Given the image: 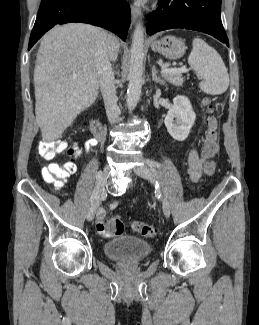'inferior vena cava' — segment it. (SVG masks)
<instances>
[{
  "mask_svg": "<svg viewBox=\"0 0 259 325\" xmlns=\"http://www.w3.org/2000/svg\"><path fill=\"white\" fill-rule=\"evenodd\" d=\"M94 70L99 80L107 118L111 124H115L119 121L120 109L117 105L114 72L110 63L109 35L105 31L101 33L95 53Z\"/></svg>",
  "mask_w": 259,
  "mask_h": 325,
  "instance_id": "inferior-vena-cava-1",
  "label": "inferior vena cava"
}]
</instances>
